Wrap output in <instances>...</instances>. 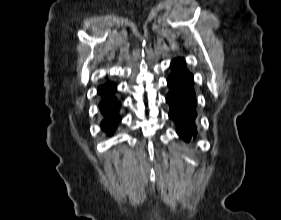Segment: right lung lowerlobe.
Instances as JSON below:
<instances>
[{"mask_svg": "<svg viewBox=\"0 0 281 220\" xmlns=\"http://www.w3.org/2000/svg\"><path fill=\"white\" fill-rule=\"evenodd\" d=\"M115 88L116 84L114 83H106L98 88V93L102 95L100 109L104 116L100 125L108 135L112 134L117 122L120 121L118 116L119 101L112 95Z\"/></svg>", "mask_w": 281, "mask_h": 220, "instance_id": "right-lung-lower-lobe-1", "label": "right lung lower lobe"}]
</instances>
